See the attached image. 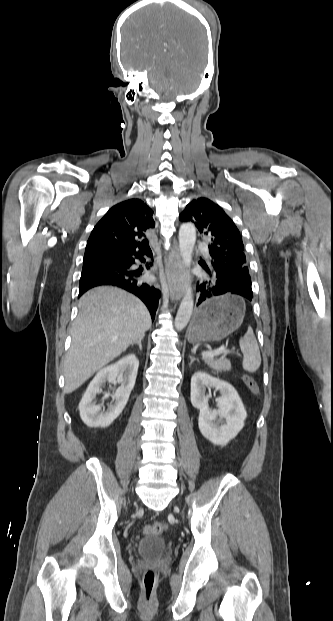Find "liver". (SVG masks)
<instances>
[{"label": "liver", "instance_id": "6515ba94", "mask_svg": "<svg viewBox=\"0 0 333 621\" xmlns=\"http://www.w3.org/2000/svg\"><path fill=\"white\" fill-rule=\"evenodd\" d=\"M151 327L146 306L112 286L86 292L72 327V343L63 360L65 392L71 393Z\"/></svg>", "mask_w": 333, "mask_h": 621}]
</instances>
